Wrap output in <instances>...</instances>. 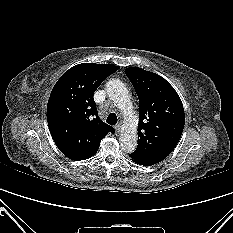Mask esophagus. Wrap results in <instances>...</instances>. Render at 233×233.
Listing matches in <instances>:
<instances>
[{"label":"esophagus","mask_w":233,"mask_h":233,"mask_svg":"<svg viewBox=\"0 0 233 233\" xmlns=\"http://www.w3.org/2000/svg\"><path fill=\"white\" fill-rule=\"evenodd\" d=\"M120 128H121V124L120 123L116 124V126H115L116 133L120 132Z\"/></svg>","instance_id":"obj_1"}]
</instances>
